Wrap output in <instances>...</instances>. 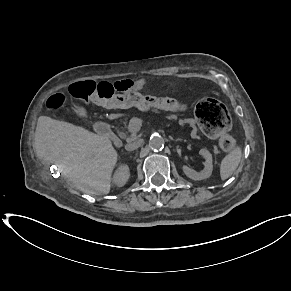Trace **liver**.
I'll return each instance as SVG.
<instances>
[{
	"instance_id": "liver-1",
	"label": "liver",
	"mask_w": 291,
	"mask_h": 291,
	"mask_svg": "<svg viewBox=\"0 0 291 291\" xmlns=\"http://www.w3.org/2000/svg\"><path fill=\"white\" fill-rule=\"evenodd\" d=\"M34 149L39 157L55 163L61 174L81 192L94 195L110 192L118 154L107 137L40 116Z\"/></svg>"
}]
</instances>
